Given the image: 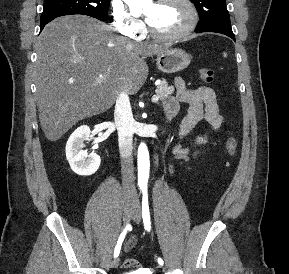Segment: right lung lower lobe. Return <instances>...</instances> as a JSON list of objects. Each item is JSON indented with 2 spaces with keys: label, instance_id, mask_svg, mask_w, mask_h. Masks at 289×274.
<instances>
[{
  "label": "right lung lower lobe",
  "instance_id": "98d812e1",
  "mask_svg": "<svg viewBox=\"0 0 289 274\" xmlns=\"http://www.w3.org/2000/svg\"><path fill=\"white\" fill-rule=\"evenodd\" d=\"M53 19H54V18H49V19H46V20L41 21V23H40V31H42L43 28H44V26H45L47 23H49L50 21H52Z\"/></svg>",
  "mask_w": 289,
  "mask_h": 274
}]
</instances>
